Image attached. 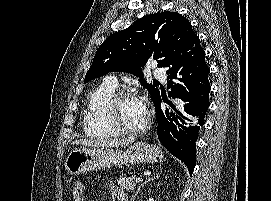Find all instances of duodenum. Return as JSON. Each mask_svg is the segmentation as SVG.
Here are the masks:
<instances>
[{
  "instance_id": "obj_1",
  "label": "duodenum",
  "mask_w": 271,
  "mask_h": 201,
  "mask_svg": "<svg viewBox=\"0 0 271 201\" xmlns=\"http://www.w3.org/2000/svg\"><path fill=\"white\" fill-rule=\"evenodd\" d=\"M117 199H118V201H128V197L126 196L125 193L119 194L117 196Z\"/></svg>"
}]
</instances>
